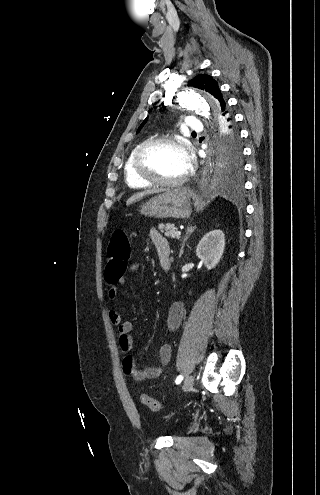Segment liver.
Returning <instances> with one entry per match:
<instances>
[{"mask_svg":"<svg viewBox=\"0 0 320 495\" xmlns=\"http://www.w3.org/2000/svg\"><path fill=\"white\" fill-rule=\"evenodd\" d=\"M157 190H147V191H143V192H139V193H136L134 195H132L126 202V205H131L132 203H135L136 201H139L140 199H142L143 197L147 196V195H150V194H154L156 193Z\"/></svg>","mask_w":320,"mask_h":495,"instance_id":"obj_1","label":"liver"}]
</instances>
